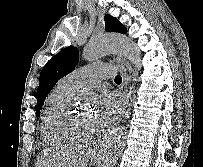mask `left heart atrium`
I'll return each instance as SVG.
<instances>
[{"label":"left heart atrium","instance_id":"1","mask_svg":"<svg viewBox=\"0 0 203 167\" xmlns=\"http://www.w3.org/2000/svg\"><path fill=\"white\" fill-rule=\"evenodd\" d=\"M122 107L121 98L113 92H103L98 100L97 113L94 116L96 128L103 129L110 125Z\"/></svg>","mask_w":203,"mask_h":167}]
</instances>
